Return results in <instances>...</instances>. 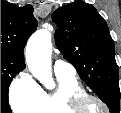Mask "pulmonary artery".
Masks as SVG:
<instances>
[{"label": "pulmonary artery", "mask_w": 121, "mask_h": 113, "mask_svg": "<svg viewBox=\"0 0 121 113\" xmlns=\"http://www.w3.org/2000/svg\"><path fill=\"white\" fill-rule=\"evenodd\" d=\"M54 72L55 74L75 75L76 69L72 64L57 58L54 63Z\"/></svg>", "instance_id": "pulmonary-artery-1"}]
</instances>
